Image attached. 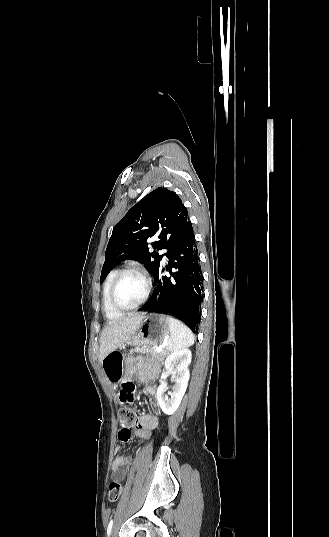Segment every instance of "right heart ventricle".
<instances>
[{
    "mask_svg": "<svg viewBox=\"0 0 329 537\" xmlns=\"http://www.w3.org/2000/svg\"><path fill=\"white\" fill-rule=\"evenodd\" d=\"M118 272H119L118 269H113L107 275L106 280H105V282L103 284V288H102V307H103V310H104L106 316L109 319H114V318H118V317L121 316V312H119V311L115 310L114 308H112V306L110 304V300H109L110 288H111L113 280L117 276Z\"/></svg>",
    "mask_w": 329,
    "mask_h": 537,
    "instance_id": "obj_1",
    "label": "right heart ventricle"
}]
</instances>
